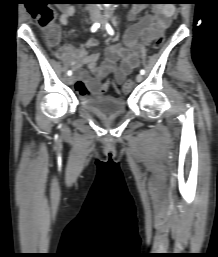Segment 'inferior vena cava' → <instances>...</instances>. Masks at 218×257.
I'll list each match as a JSON object with an SVG mask.
<instances>
[{
	"instance_id": "1",
	"label": "inferior vena cava",
	"mask_w": 218,
	"mask_h": 257,
	"mask_svg": "<svg viewBox=\"0 0 218 257\" xmlns=\"http://www.w3.org/2000/svg\"><path fill=\"white\" fill-rule=\"evenodd\" d=\"M99 6H100V4H90V8L91 9H95V10H99Z\"/></svg>"
}]
</instances>
